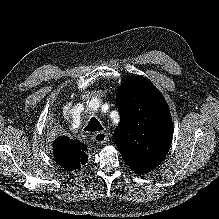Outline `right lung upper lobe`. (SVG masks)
<instances>
[{
    "label": "right lung upper lobe",
    "mask_w": 219,
    "mask_h": 219,
    "mask_svg": "<svg viewBox=\"0 0 219 219\" xmlns=\"http://www.w3.org/2000/svg\"><path fill=\"white\" fill-rule=\"evenodd\" d=\"M53 148L56 162L67 170H76L87 162L86 146L67 136L57 137Z\"/></svg>",
    "instance_id": "cb5924a9"
}]
</instances>
